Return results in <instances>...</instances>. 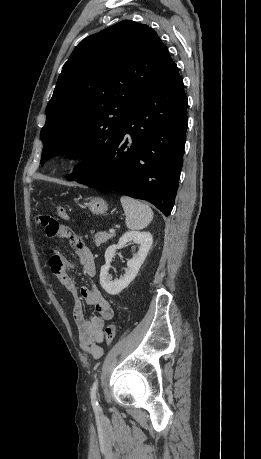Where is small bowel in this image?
Masks as SVG:
<instances>
[{
    "label": "small bowel",
    "mask_w": 261,
    "mask_h": 459,
    "mask_svg": "<svg viewBox=\"0 0 261 459\" xmlns=\"http://www.w3.org/2000/svg\"><path fill=\"white\" fill-rule=\"evenodd\" d=\"M46 236L49 238L59 237L69 239L74 251L79 258V266L83 274L93 277L96 273L95 258L92 251L83 243L82 239L69 227L57 224L56 228L49 230L45 227ZM48 266L59 284L65 288L73 298V318L78 329V338L81 349L93 359H99L103 355L101 343L104 339L103 327L106 321L114 316L110 303L95 287H78L72 277L76 265L67 260L58 251L54 250L48 260ZM84 302L94 307L97 315L86 316Z\"/></svg>",
    "instance_id": "obj_1"
}]
</instances>
